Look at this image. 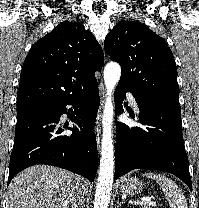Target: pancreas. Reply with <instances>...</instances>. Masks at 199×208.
<instances>
[{"label": "pancreas", "instance_id": "1", "mask_svg": "<svg viewBox=\"0 0 199 208\" xmlns=\"http://www.w3.org/2000/svg\"><path fill=\"white\" fill-rule=\"evenodd\" d=\"M144 208H152L151 206H144Z\"/></svg>", "mask_w": 199, "mask_h": 208}]
</instances>
